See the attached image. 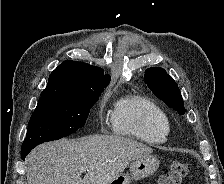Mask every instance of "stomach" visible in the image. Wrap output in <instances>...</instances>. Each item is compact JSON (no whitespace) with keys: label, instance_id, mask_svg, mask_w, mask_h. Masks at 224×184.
I'll return each mask as SVG.
<instances>
[{"label":"stomach","instance_id":"0dacf381","mask_svg":"<svg viewBox=\"0 0 224 184\" xmlns=\"http://www.w3.org/2000/svg\"><path fill=\"white\" fill-rule=\"evenodd\" d=\"M159 167V160L155 156H146L130 163L129 173H121L119 176L109 181L107 184H130L149 177Z\"/></svg>","mask_w":224,"mask_h":184}]
</instances>
